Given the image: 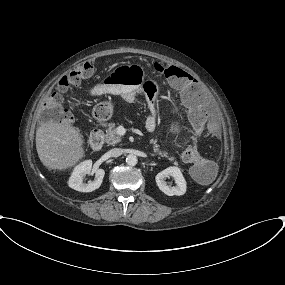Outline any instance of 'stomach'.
Returning <instances> with one entry per match:
<instances>
[{"mask_svg": "<svg viewBox=\"0 0 285 285\" xmlns=\"http://www.w3.org/2000/svg\"><path fill=\"white\" fill-rule=\"evenodd\" d=\"M92 114L98 122H105L113 116V105L110 101L98 103L93 108Z\"/></svg>", "mask_w": 285, "mask_h": 285, "instance_id": "1", "label": "stomach"}]
</instances>
